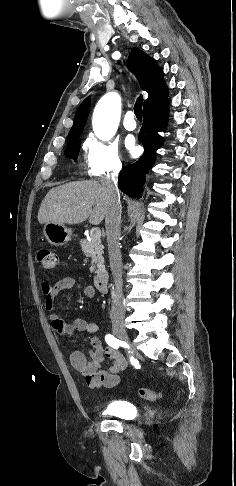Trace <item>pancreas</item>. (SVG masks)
<instances>
[{
  "label": "pancreas",
  "instance_id": "obj_1",
  "mask_svg": "<svg viewBox=\"0 0 236 486\" xmlns=\"http://www.w3.org/2000/svg\"><path fill=\"white\" fill-rule=\"evenodd\" d=\"M80 245L86 257H91L90 272L100 274L105 271L103 249L104 246L100 239L92 238L91 241L81 239Z\"/></svg>",
  "mask_w": 236,
  "mask_h": 486
}]
</instances>
